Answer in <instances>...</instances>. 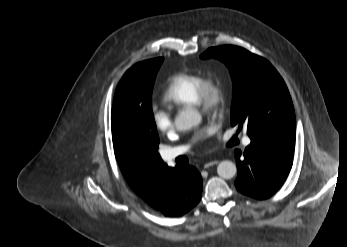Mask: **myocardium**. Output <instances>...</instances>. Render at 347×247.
Wrapping results in <instances>:
<instances>
[{"mask_svg": "<svg viewBox=\"0 0 347 247\" xmlns=\"http://www.w3.org/2000/svg\"><path fill=\"white\" fill-rule=\"evenodd\" d=\"M197 99V105L203 113L219 112L226 101L225 89L214 77H203Z\"/></svg>", "mask_w": 347, "mask_h": 247, "instance_id": "f54148a6", "label": "myocardium"}]
</instances>
